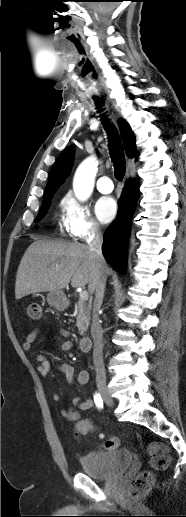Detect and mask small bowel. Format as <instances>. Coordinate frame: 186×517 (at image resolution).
Instances as JSON below:
<instances>
[{"mask_svg": "<svg viewBox=\"0 0 186 517\" xmlns=\"http://www.w3.org/2000/svg\"><path fill=\"white\" fill-rule=\"evenodd\" d=\"M39 333V330L36 329L29 333L23 344L22 347L25 351H29L32 347L33 342L37 338ZM60 335L63 337L68 336V332L65 330H60ZM73 347L72 343L70 341H64L60 344L59 350L61 351H69ZM36 362H37V370L38 372L45 376L48 374L50 370V363L48 359L44 355H37L36 356ZM56 369L62 373L65 376L66 381L69 384H74L75 382L79 385H85L89 382V371L86 369L80 370L77 374H75L74 368L67 363H59L56 366ZM52 398L54 401L58 402L61 399V396L59 393L55 392L52 395ZM78 407V409H75L74 407ZM93 406V401L90 398L87 399H80V398H74L72 400V407H69L67 409L62 410V416L65 417L67 420L71 422H75V433L76 435H86L87 433L94 430V425L92 422L88 420H81L80 416L82 412L88 411Z\"/></svg>", "mask_w": 186, "mask_h": 517, "instance_id": "1", "label": "small bowel"}]
</instances>
